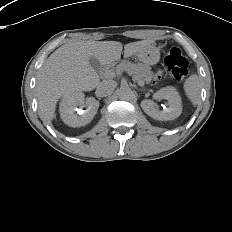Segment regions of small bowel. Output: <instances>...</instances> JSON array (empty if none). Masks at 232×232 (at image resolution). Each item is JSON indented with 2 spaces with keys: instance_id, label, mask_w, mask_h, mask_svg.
<instances>
[{
  "instance_id": "small-bowel-1",
  "label": "small bowel",
  "mask_w": 232,
  "mask_h": 232,
  "mask_svg": "<svg viewBox=\"0 0 232 232\" xmlns=\"http://www.w3.org/2000/svg\"><path fill=\"white\" fill-rule=\"evenodd\" d=\"M155 76H156V77L151 76V77H149L148 80H147L148 85L151 86V87H154V86L157 85V83H158V80H157V79H159V80L164 79L165 76H166V72H165L164 69L159 68V69L156 70Z\"/></svg>"
}]
</instances>
